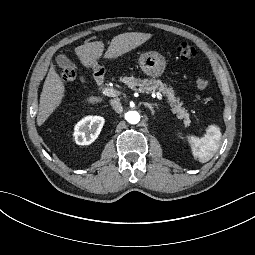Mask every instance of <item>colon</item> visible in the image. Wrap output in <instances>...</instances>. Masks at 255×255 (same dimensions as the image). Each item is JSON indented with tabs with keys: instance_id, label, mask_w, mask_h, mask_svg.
Wrapping results in <instances>:
<instances>
[{
	"instance_id": "5ec220e1",
	"label": "colon",
	"mask_w": 255,
	"mask_h": 255,
	"mask_svg": "<svg viewBox=\"0 0 255 255\" xmlns=\"http://www.w3.org/2000/svg\"><path fill=\"white\" fill-rule=\"evenodd\" d=\"M178 57L183 61L192 60L196 57V49L190 44L183 42L176 47ZM61 79L65 83H69L75 79V72L71 68H65L61 72ZM197 87L204 90L208 86V80L204 77H199L196 81Z\"/></svg>"
}]
</instances>
